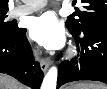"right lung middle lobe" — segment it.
<instances>
[{
  "label": "right lung middle lobe",
  "instance_id": "dd1d6c3e",
  "mask_svg": "<svg viewBox=\"0 0 107 89\" xmlns=\"http://www.w3.org/2000/svg\"><path fill=\"white\" fill-rule=\"evenodd\" d=\"M6 13H0V31L6 34H11L17 30H19V28L17 27V25L13 24L12 22H5V18H6Z\"/></svg>",
  "mask_w": 107,
  "mask_h": 89
}]
</instances>
